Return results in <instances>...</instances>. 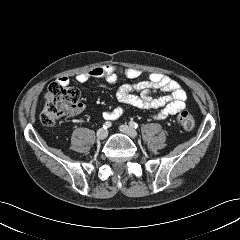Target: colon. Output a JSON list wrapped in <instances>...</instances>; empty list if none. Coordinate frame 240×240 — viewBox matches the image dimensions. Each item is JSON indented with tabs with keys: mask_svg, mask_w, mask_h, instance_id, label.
<instances>
[{
	"mask_svg": "<svg viewBox=\"0 0 240 240\" xmlns=\"http://www.w3.org/2000/svg\"><path fill=\"white\" fill-rule=\"evenodd\" d=\"M80 93L76 88L59 83L52 84L45 95V105L41 120L45 125L56 124L63 116L73 113L79 107ZM179 125L187 131L194 128L193 116L187 111L178 114Z\"/></svg>",
	"mask_w": 240,
	"mask_h": 240,
	"instance_id": "obj_1",
	"label": "colon"
}]
</instances>
